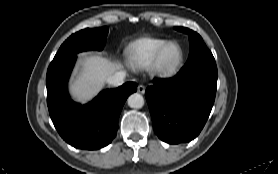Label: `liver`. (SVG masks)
Returning <instances> with one entry per match:
<instances>
[{
  "instance_id": "1",
  "label": "liver",
  "mask_w": 278,
  "mask_h": 174,
  "mask_svg": "<svg viewBox=\"0 0 278 174\" xmlns=\"http://www.w3.org/2000/svg\"><path fill=\"white\" fill-rule=\"evenodd\" d=\"M121 68L120 63L100 55H85L79 61V72L70 83L72 97L81 103L90 101L103 89L108 77Z\"/></svg>"
}]
</instances>
